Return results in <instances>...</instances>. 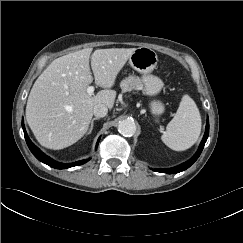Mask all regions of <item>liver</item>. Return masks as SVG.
Instances as JSON below:
<instances>
[{
    "instance_id": "6515ba94",
    "label": "liver",
    "mask_w": 243,
    "mask_h": 243,
    "mask_svg": "<svg viewBox=\"0 0 243 243\" xmlns=\"http://www.w3.org/2000/svg\"><path fill=\"white\" fill-rule=\"evenodd\" d=\"M136 48L97 49L91 55L95 84L104 90L92 96L89 58L91 48L69 53L52 61L37 78L26 106V120L37 141L49 149L73 145L88 131L93 108H113L116 77Z\"/></svg>"
}]
</instances>
